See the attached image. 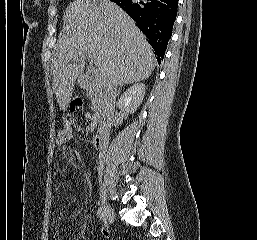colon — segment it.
<instances>
[{
  "mask_svg": "<svg viewBox=\"0 0 257 240\" xmlns=\"http://www.w3.org/2000/svg\"><path fill=\"white\" fill-rule=\"evenodd\" d=\"M83 99L80 95H74L70 102V108L75 111L82 107Z\"/></svg>",
  "mask_w": 257,
  "mask_h": 240,
  "instance_id": "1",
  "label": "colon"
}]
</instances>
